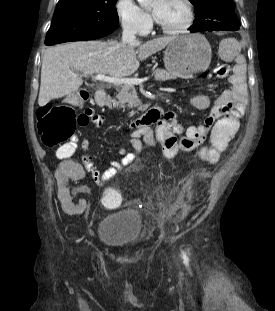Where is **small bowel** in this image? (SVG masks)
<instances>
[{
    "mask_svg": "<svg viewBox=\"0 0 275 311\" xmlns=\"http://www.w3.org/2000/svg\"><path fill=\"white\" fill-rule=\"evenodd\" d=\"M218 57L233 58L234 65L228 78L230 88L213 99L204 94L193 97L191 105L194 109L208 110L205 119L201 123L184 127L178 123L173 111L155 110L148 114L145 126L136 127L127 141V144L135 152H142L145 146H161L164 156L172 158L182 150H191L199 146L215 127L217 118H241L247 105L248 94L245 78L246 62L241 54L240 44L234 39L223 40L218 50ZM86 111L90 115V122L95 127L99 128L103 125V116L96 114L91 109ZM179 135H183L181 140H178ZM74 141H78V138L75 137ZM87 146L88 141L84 140L82 147L86 149ZM118 154L121 158L111 161L110 166L103 173L95 168L92 158L88 155L82 156L84 169H81L80 160H60V169L55 171L58 185H60L58 201H61V206L58 208L59 213H66L67 216H82L86 201L82 198L74 200L73 194H80L81 188L71 187L73 180H82L86 174L85 170H87L97 184L105 185L116 175L118 170L130 165L135 159L134 154L127 153L126 144H121L118 147ZM58 157L67 158L59 155Z\"/></svg>",
    "mask_w": 275,
    "mask_h": 311,
    "instance_id": "obj_1",
    "label": "small bowel"
}]
</instances>
